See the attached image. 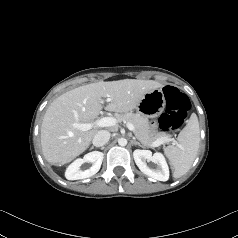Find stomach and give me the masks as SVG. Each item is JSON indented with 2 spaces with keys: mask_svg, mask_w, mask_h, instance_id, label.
<instances>
[{
  "mask_svg": "<svg viewBox=\"0 0 238 238\" xmlns=\"http://www.w3.org/2000/svg\"><path fill=\"white\" fill-rule=\"evenodd\" d=\"M166 99L161 89H154L145 94L137 106L140 115L151 118L159 116L165 109Z\"/></svg>",
  "mask_w": 238,
  "mask_h": 238,
  "instance_id": "obj_1",
  "label": "stomach"
}]
</instances>
